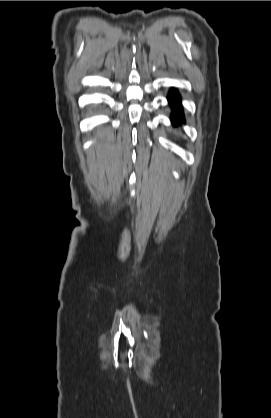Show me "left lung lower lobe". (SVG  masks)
<instances>
[{"label":"left lung lower lobe","mask_w":271,"mask_h":418,"mask_svg":"<svg viewBox=\"0 0 271 418\" xmlns=\"http://www.w3.org/2000/svg\"><path fill=\"white\" fill-rule=\"evenodd\" d=\"M168 100L173 112L171 114V121L174 126L185 123L184 113L182 110L180 95L177 90L172 89L168 94Z\"/></svg>","instance_id":"left-lung-lower-lobe-1"}]
</instances>
